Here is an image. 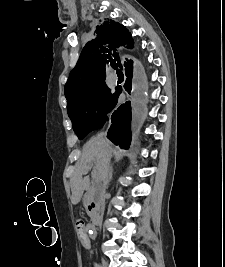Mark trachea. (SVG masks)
Instances as JSON below:
<instances>
[{"instance_id":"obj_1","label":"trachea","mask_w":225,"mask_h":267,"mask_svg":"<svg viewBox=\"0 0 225 267\" xmlns=\"http://www.w3.org/2000/svg\"><path fill=\"white\" fill-rule=\"evenodd\" d=\"M111 66H112V68H114L117 71V74H122V71L120 69H117L116 63H112Z\"/></svg>"}]
</instances>
